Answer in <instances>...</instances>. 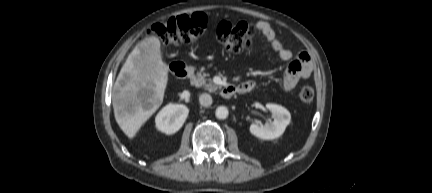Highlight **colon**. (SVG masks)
Masks as SVG:
<instances>
[{
	"label": "colon",
	"mask_w": 432,
	"mask_h": 193,
	"mask_svg": "<svg viewBox=\"0 0 432 193\" xmlns=\"http://www.w3.org/2000/svg\"><path fill=\"white\" fill-rule=\"evenodd\" d=\"M207 17L203 13L180 15L155 23L150 33L156 35L165 45L190 44L200 38L207 28ZM255 36V27L246 22H220L216 29V39L226 52L237 54L251 50ZM302 103L310 104L314 90L304 86L299 93Z\"/></svg>",
	"instance_id": "1"
}]
</instances>
